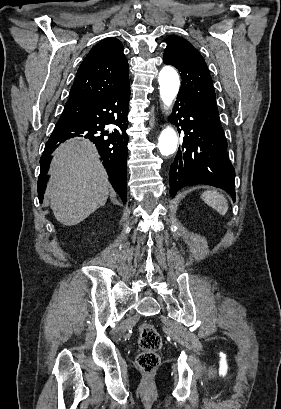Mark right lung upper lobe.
<instances>
[{
    "instance_id": "right-lung-upper-lobe-1",
    "label": "right lung upper lobe",
    "mask_w": 281,
    "mask_h": 409,
    "mask_svg": "<svg viewBox=\"0 0 281 409\" xmlns=\"http://www.w3.org/2000/svg\"><path fill=\"white\" fill-rule=\"evenodd\" d=\"M129 84L122 43L108 37L95 45L80 65L68 102L102 98Z\"/></svg>"
}]
</instances>
